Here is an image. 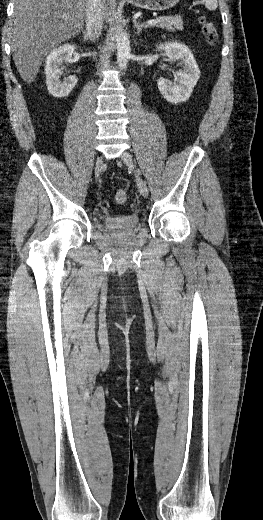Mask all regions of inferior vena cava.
I'll return each instance as SVG.
<instances>
[{
  "label": "inferior vena cava",
  "instance_id": "1",
  "mask_svg": "<svg viewBox=\"0 0 263 520\" xmlns=\"http://www.w3.org/2000/svg\"><path fill=\"white\" fill-rule=\"evenodd\" d=\"M103 0H87L86 34L95 41L101 35L103 27Z\"/></svg>",
  "mask_w": 263,
  "mask_h": 520
}]
</instances>
